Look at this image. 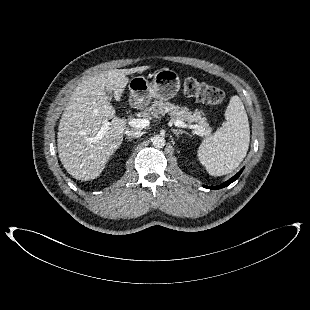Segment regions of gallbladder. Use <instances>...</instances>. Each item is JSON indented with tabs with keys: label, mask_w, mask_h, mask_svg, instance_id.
<instances>
[{
	"label": "gallbladder",
	"mask_w": 310,
	"mask_h": 310,
	"mask_svg": "<svg viewBox=\"0 0 310 310\" xmlns=\"http://www.w3.org/2000/svg\"><path fill=\"white\" fill-rule=\"evenodd\" d=\"M106 95L109 98V100L113 99L114 93L112 91L106 90Z\"/></svg>",
	"instance_id": "obj_1"
}]
</instances>
